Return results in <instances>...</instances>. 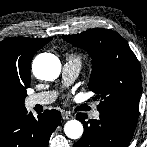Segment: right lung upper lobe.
I'll use <instances>...</instances> for the list:
<instances>
[{
    "mask_svg": "<svg viewBox=\"0 0 147 147\" xmlns=\"http://www.w3.org/2000/svg\"><path fill=\"white\" fill-rule=\"evenodd\" d=\"M52 38L11 37L0 42V74L30 83V66L34 54ZM7 117L0 114V120Z\"/></svg>",
    "mask_w": 147,
    "mask_h": 147,
    "instance_id": "cb5924a9",
    "label": "right lung upper lobe"
}]
</instances>
